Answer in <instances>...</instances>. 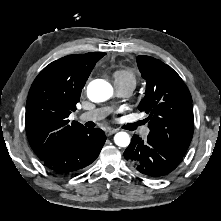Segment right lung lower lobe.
Wrapping results in <instances>:
<instances>
[{
	"label": "right lung lower lobe",
	"mask_w": 221,
	"mask_h": 221,
	"mask_svg": "<svg viewBox=\"0 0 221 221\" xmlns=\"http://www.w3.org/2000/svg\"><path fill=\"white\" fill-rule=\"evenodd\" d=\"M106 136L101 129H85L68 139L43 164L58 175H73L90 165L99 155Z\"/></svg>",
	"instance_id": "1"
}]
</instances>
